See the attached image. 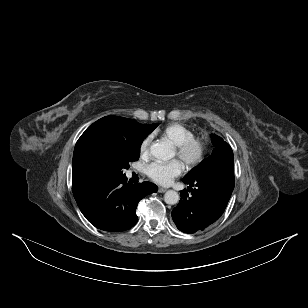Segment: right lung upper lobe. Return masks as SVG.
I'll list each match as a JSON object with an SVG mask.
<instances>
[{
  "mask_svg": "<svg viewBox=\"0 0 308 308\" xmlns=\"http://www.w3.org/2000/svg\"><path fill=\"white\" fill-rule=\"evenodd\" d=\"M146 125L133 119L106 116L94 122L78 139L72 163L73 194L105 178L104 158L114 147L136 142Z\"/></svg>",
  "mask_w": 308,
  "mask_h": 308,
  "instance_id": "right-lung-upper-lobe-1",
  "label": "right lung upper lobe"
}]
</instances>
